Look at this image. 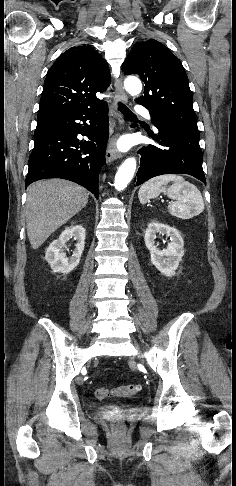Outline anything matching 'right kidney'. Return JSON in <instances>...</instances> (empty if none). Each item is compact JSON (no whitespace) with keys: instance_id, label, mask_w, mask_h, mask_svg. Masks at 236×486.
I'll return each mask as SVG.
<instances>
[{"instance_id":"obj_1","label":"right kidney","mask_w":236,"mask_h":486,"mask_svg":"<svg viewBox=\"0 0 236 486\" xmlns=\"http://www.w3.org/2000/svg\"><path fill=\"white\" fill-rule=\"evenodd\" d=\"M85 229L82 225L66 228L57 240H54L46 250L45 260L55 273L68 274L73 271L80 262L85 244ZM77 241L71 257H67L63 248L70 239Z\"/></svg>"}]
</instances>
